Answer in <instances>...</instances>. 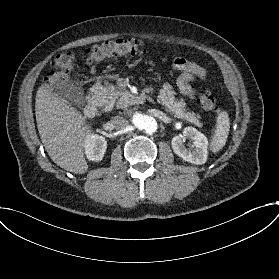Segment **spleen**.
<instances>
[{"mask_svg": "<svg viewBox=\"0 0 279 279\" xmlns=\"http://www.w3.org/2000/svg\"><path fill=\"white\" fill-rule=\"evenodd\" d=\"M230 129L228 113L223 111L218 114L215 134L210 142V150L213 153L220 151L226 144Z\"/></svg>", "mask_w": 279, "mask_h": 279, "instance_id": "3e777b00", "label": "spleen"}]
</instances>
